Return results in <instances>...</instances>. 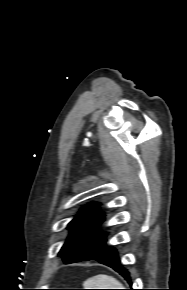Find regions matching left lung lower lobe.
<instances>
[{"label":"left lung lower lobe","mask_w":187,"mask_h":290,"mask_svg":"<svg viewBox=\"0 0 187 290\" xmlns=\"http://www.w3.org/2000/svg\"><path fill=\"white\" fill-rule=\"evenodd\" d=\"M91 259L96 260L99 263L105 264V265L113 268L121 276H123L128 281L129 284H131L129 272L120 264V259L118 257V253H117L115 248L110 247V246L109 247L104 246ZM71 263H74V262H71ZM67 264H69V263H67Z\"/></svg>","instance_id":"left-lung-lower-lobe-1"}]
</instances>
